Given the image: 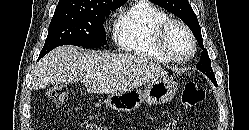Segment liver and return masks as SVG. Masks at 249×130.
I'll return each mask as SVG.
<instances>
[{
    "mask_svg": "<svg viewBox=\"0 0 249 130\" xmlns=\"http://www.w3.org/2000/svg\"><path fill=\"white\" fill-rule=\"evenodd\" d=\"M166 77L167 72L160 65L144 57L84 51L66 45L39 61L32 86L40 89L81 81L89 93L114 94Z\"/></svg>",
    "mask_w": 249,
    "mask_h": 130,
    "instance_id": "1",
    "label": "liver"
}]
</instances>
